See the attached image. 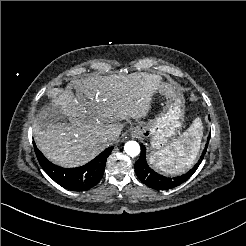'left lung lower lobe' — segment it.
<instances>
[{
    "instance_id": "0a47b994",
    "label": "left lung lower lobe",
    "mask_w": 246,
    "mask_h": 246,
    "mask_svg": "<svg viewBox=\"0 0 246 246\" xmlns=\"http://www.w3.org/2000/svg\"><path fill=\"white\" fill-rule=\"evenodd\" d=\"M209 139H210V136L208 137V141L203 151V154L201 156V159L194 166V168L191 169L188 173L182 176L176 177V178H166L154 172L147 164L146 156H145L146 148L144 147V145L141 144V155L138 161L135 163L136 175L144 184L156 190H167L177 185H180L181 183L186 181L188 178H190L192 174L195 172V170L198 168L199 164L204 158V154L206 152Z\"/></svg>"
}]
</instances>
